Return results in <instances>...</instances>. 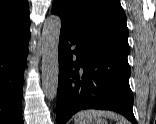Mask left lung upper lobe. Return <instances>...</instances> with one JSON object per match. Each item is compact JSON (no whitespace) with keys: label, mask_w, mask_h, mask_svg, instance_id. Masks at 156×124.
<instances>
[{"label":"left lung upper lobe","mask_w":156,"mask_h":124,"mask_svg":"<svg viewBox=\"0 0 156 124\" xmlns=\"http://www.w3.org/2000/svg\"><path fill=\"white\" fill-rule=\"evenodd\" d=\"M52 13L77 34L129 54L126 15L119 0H54Z\"/></svg>","instance_id":"obj_1"}]
</instances>
